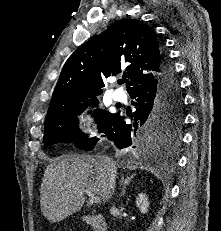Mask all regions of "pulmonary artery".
I'll return each mask as SVG.
<instances>
[{"label": "pulmonary artery", "mask_w": 221, "mask_h": 231, "mask_svg": "<svg viewBox=\"0 0 221 231\" xmlns=\"http://www.w3.org/2000/svg\"><path fill=\"white\" fill-rule=\"evenodd\" d=\"M112 97L115 101H118V102H125L127 99L125 92L122 91L121 89L114 90L112 93Z\"/></svg>", "instance_id": "1"}]
</instances>
